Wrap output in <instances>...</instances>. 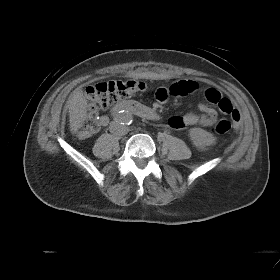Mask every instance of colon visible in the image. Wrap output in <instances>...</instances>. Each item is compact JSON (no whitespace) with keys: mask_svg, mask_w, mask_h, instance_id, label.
<instances>
[{"mask_svg":"<svg viewBox=\"0 0 280 280\" xmlns=\"http://www.w3.org/2000/svg\"><path fill=\"white\" fill-rule=\"evenodd\" d=\"M146 84L137 80H111L98 83L86 89V96L90 100V109L86 116L83 127L87 131H95L99 126L98 112L106 109L112 104L127 99L136 93L145 91ZM207 95L212 101L227 110L230 119L220 120L214 127L213 132L224 134L231 128L235 130L240 126V114L230 108V102L221 98L215 91H208Z\"/></svg>","mask_w":280,"mask_h":280,"instance_id":"5ec220e1","label":"colon"}]
</instances>
